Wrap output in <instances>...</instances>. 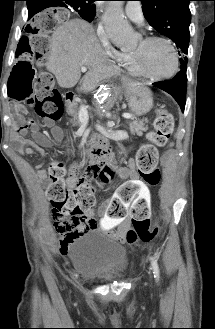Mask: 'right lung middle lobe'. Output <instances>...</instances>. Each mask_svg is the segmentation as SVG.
Here are the masks:
<instances>
[{"label":"right lung middle lobe","instance_id":"1","mask_svg":"<svg viewBox=\"0 0 215 329\" xmlns=\"http://www.w3.org/2000/svg\"><path fill=\"white\" fill-rule=\"evenodd\" d=\"M65 3L66 5H64V7L68 10L77 12L83 19L87 20L88 22L93 20L95 15L94 7L84 4L81 1L74 0L65 1Z\"/></svg>","mask_w":215,"mask_h":329}]
</instances>
